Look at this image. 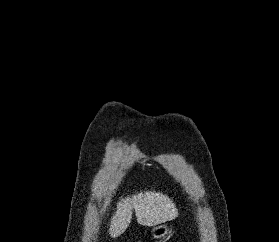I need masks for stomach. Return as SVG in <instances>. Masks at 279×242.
Returning a JSON list of instances; mask_svg holds the SVG:
<instances>
[{"mask_svg":"<svg viewBox=\"0 0 279 242\" xmlns=\"http://www.w3.org/2000/svg\"><path fill=\"white\" fill-rule=\"evenodd\" d=\"M170 228L166 224L156 226L152 229L151 235L154 239H163L170 233Z\"/></svg>","mask_w":279,"mask_h":242,"instance_id":"obj_1","label":"stomach"}]
</instances>
